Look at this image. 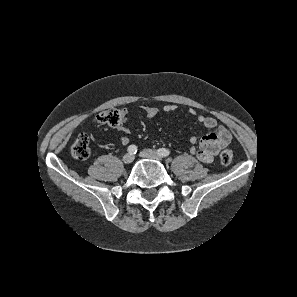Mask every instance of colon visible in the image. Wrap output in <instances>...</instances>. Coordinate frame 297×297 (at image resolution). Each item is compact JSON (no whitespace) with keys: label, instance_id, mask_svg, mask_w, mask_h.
I'll use <instances>...</instances> for the list:
<instances>
[{"label":"colon","instance_id":"5ec220e1","mask_svg":"<svg viewBox=\"0 0 297 297\" xmlns=\"http://www.w3.org/2000/svg\"><path fill=\"white\" fill-rule=\"evenodd\" d=\"M122 112L118 109H109L103 111L97 116L98 122L109 126H119L122 122ZM71 154L78 160H84L90 155L89 138L86 134L77 136L71 146ZM222 165H229L233 160V152L230 149H224L219 155Z\"/></svg>","mask_w":297,"mask_h":297}]
</instances>
